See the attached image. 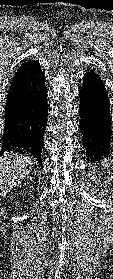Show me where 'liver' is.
I'll list each match as a JSON object with an SVG mask.
<instances>
[{
	"mask_svg": "<svg viewBox=\"0 0 113 279\" xmlns=\"http://www.w3.org/2000/svg\"><path fill=\"white\" fill-rule=\"evenodd\" d=\"M33 158L15 152L0 156V197L23 181L32 168Z\"/></svg>",
	"mask_w": 113,
	"mask_h": 279,
	"instance_id": "liver-1",
	"label": "liver"
}]
</instances>
